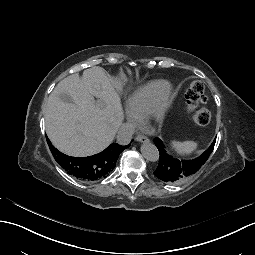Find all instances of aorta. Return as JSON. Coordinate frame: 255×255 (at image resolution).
<instances>
[{"instance_id":"obj_1","label":"aorta","mask_w":255,"mask_h":255,"mask_svg":"<svg viewBox=\"0 0 255 255\" xmlns=\"http://www.w3.org/2000/svg\"><path fill=\"white\" fill-rule=\"evenodd\" d=\"M141 153L143 157L148 161L156 162L159 159V151L157 147L151 142L142 144Z\"/></svg>"}]
</instances>
